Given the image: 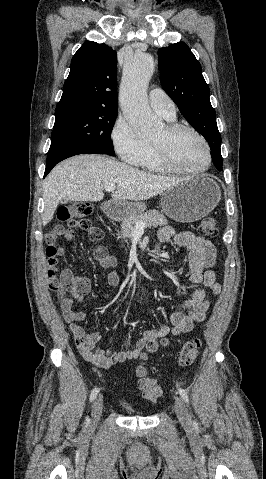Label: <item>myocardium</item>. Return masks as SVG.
<instances>
[{"mask_svg": "<svg viewBox=\"0 0 266 479\" xmlns=\"http://www.w3.org/2000/svg\"><path fill=\"white\" fill-rule=\"evenodd\" d=\"M165 128H166L167 132L170 133V134L178 133V132H181V131H187V132L192 133L202 143V145L204 147V150H205V155H206V162H205V165L202 168L195 169V170L184 169V168L176 166L169 159V157L165 153L164 148L160 144H158L154 141H151V145L153 147L156 160L158 161V163L161 165V167L165 171H169V172H172V173L186 174V175H199V174H202V173L206 172L210 168V165L212 163L211 149H210L209 143L207 142L206 138L198 130H196L195 128H193L189 125L181 124V123H168V124L165 125Z\"/></svg>", "mask_w": 266, "mask_h": 479, "instance_id": "1", "label": "myocardium"}]
</instances>
